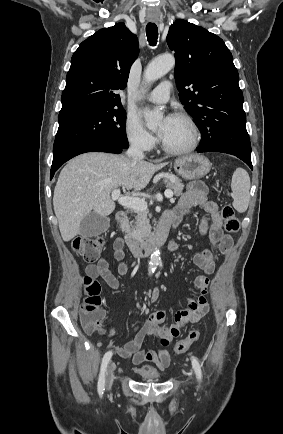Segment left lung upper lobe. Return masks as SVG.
<instances>
[{
	"label": "left lung upper lobe",
	"instance_id": "5c2ea615",
	"mask_svg": "<svg viewBox=\"0 0 283 434\" xmlns=\"http://www.w3.org/2000/svg\"><path fill=\"white\" fill-rule=\"evenodd\" d=\"M166 40L175 51L180 101L202 134L200 148L251 156L239 75L224 41L182 19L170 26Z\"/></svg>",
	"mask_w": 283,
	"mask_h": 434
}]
</instances>
